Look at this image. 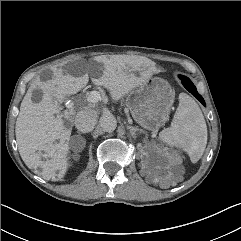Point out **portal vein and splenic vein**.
Returning a JSON list of instances; mask_svg holds the SVG:
<instances>
[{"mask_svg": "<svg viewBox=\"0 0 241 241\" xmlns=\"http://www.w3.org/2000/svg\"><path fill=\"white\" fill-rule=\"evenodd\" d=\"M101 99L99 92L91 91L87 96V101L90 103H97Z\"/></svg>", "mask_w": 241, "mask_h": 241, "instance_id": "1", "label": "portal vein and splenic vein"}]
</instances>
